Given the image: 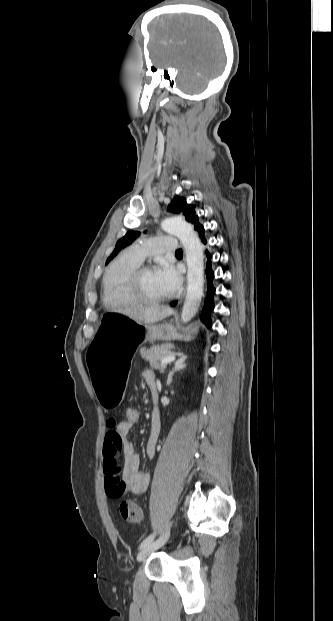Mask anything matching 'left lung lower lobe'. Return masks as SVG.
<instances>
[{"label": "left lung lower lobe", "instance_id": "obj_1", "mask_svg": "<svg viewBox=\"0 0 333 621\" xmlns=\"http://www.w3.org/2000/svg\"><path fill=\"white\" fill-rule=\"evenodd\" d=\"M198 236L200 238V241L203 245L207 244V239L205 237V229L204 227L201 225L200 227H198L196 229ZM206 257H207V265H206V276H207V294H206V298H205V303H204V307L202 309L201 312V320L202 322L207 326V327H211L212 322H211V318H210V313L211 311L214 309V294H215V288L213 286V279H214V272L212 270L211 267V259H212V255L210 254V252L208 250H206ZM176 302H172L171 305L175 306Z\"/></svg>", "mask_w": 333, "mask_h": 621}]
</instances>
